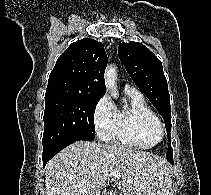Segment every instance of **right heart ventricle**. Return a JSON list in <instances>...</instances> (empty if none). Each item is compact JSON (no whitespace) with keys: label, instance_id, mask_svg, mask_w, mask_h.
<instances>
[{"label":"right heart ventricle","instance_id":"right-heart-ventricle-1","mask_svg":"<svg viewBox=\"0 0 211 195\" xmlns=\"http://www.w3.org/2000/svg\"><path fill=\"white\" fill-rule=\"evenodd\" d=\"M128 104L115 108L111 138L115 143L136 148L151 149L158 141L150 135L149 126L160 121L140 93H126Z\"/></svg>","mask_w":211,"mask_h":195}]
</instances>
